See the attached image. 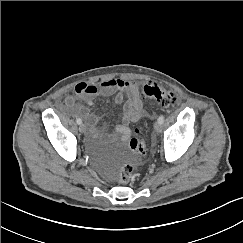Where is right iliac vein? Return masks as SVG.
I'll return each mask as SVG.
<instances>
[{"instance_id": "obj_1", "label": "right iliac vein", "mask_w": 243, "mask_h": 243, "mask_svg": "<svg viewBox=\"0 0 243 243\" xmlns=\"http://www.w3.org/2000/svg\"><path fill=\"white\" fill-rule=\"evenodd\" d=\"M79 131L81 133H85L86 132V126L85 124L81 123L80 126H79Z\"/></svg>"}]
</instances>
